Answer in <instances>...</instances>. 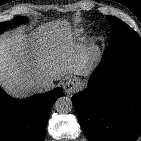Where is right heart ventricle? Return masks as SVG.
I'll use <instances>...</instances> for the list:
<instances>
[{"label":"right heart ventricle","mask_w":141,"mask_h":141,"mask_svg":"<svg viewBox=\"0 0 141 141\" xmlns=\"http://www.w3.org/2000/svg\"><path fill=\"white\" fill-rule=\"evenodd\" d=\"M83 36V30H77V32L75 33V38L77 40L81 39Z\"/></svg>","instance_id":"1"}]
</instances>
